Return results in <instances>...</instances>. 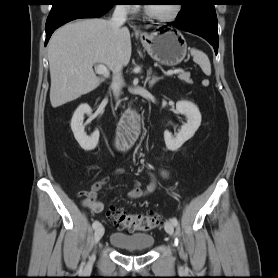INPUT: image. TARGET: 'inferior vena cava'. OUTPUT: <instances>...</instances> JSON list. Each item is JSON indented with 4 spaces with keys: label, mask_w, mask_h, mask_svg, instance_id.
Wrapping results in <instances>:
<instances>
[{
    "label": "inferior vena cava",
    "mask_w": 278,
    "mask_h": 278,
    "mask_svg": "<svg viewBox=\"0 0 278 278\" xmlns=\"http://www.w3.org/2000/svg\"><path fill=\"white\" fill-rule=\"evenodd\" d=\"M129 10L130 7L128 5H116L112 18L110 19V24L116 32L126 21L127 13L129 12ZM121 69L122 67L119 66L113 71L114 78L111 85V89L113 90L116 99H118L121 92V88L123 86Z\"/></svg>",
    "instance_id": "inferior-vena-cava-1"
}]
</instances>
